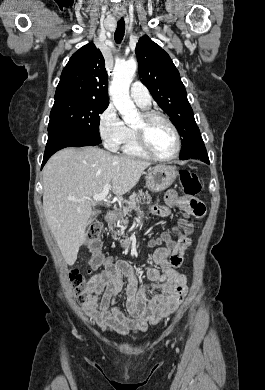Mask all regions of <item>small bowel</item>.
Here are the masks:
<instances>
[{
	"label": "small bowel",
	"instance_id": "1",
	"mask_svg": "<svg viewBox=\"0 0 265 390\" xmlns=\"http://www.w3.org/2000/svg\"><path fill=\"white\" fill-rule=\"evenodd\" d=\"M165 206H155L153 212L167 216L170 208L177 207L187 215L202 218L204 204L196 197L180 196L173 189L165 195ZM178 235L173 239L169 233L152 240L150 247H156L144 271L149 282L139 284L136 269L123 258H103V270L91 282V300L82 307L85 314L102 330L125 335L129 332H143L149 325L158 324L174 313L187 292V277L177 269L191 240L182 228H174ZM158 266L161 269H158ZM126 284V307L128 315L117 307V296ZM150 291L158 294L148 298Z\"/></svg>",
	"mask_w": 265,
	"mask_h": 390
}]
</instances>
